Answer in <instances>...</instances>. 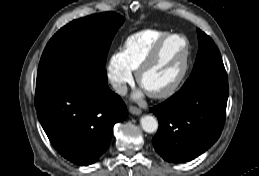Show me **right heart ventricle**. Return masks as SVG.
Wrapping results in <instances>:
<instances>
[{"label":"right heart ventricle","instance_id":"e07e8e85","mask_svg":"<svg viewBox=\"0 0 259 176\" xmlns=\"http://www.w3.org/2000/svg\"><path fill=\"white\" fill-rule=\"evenodd\" d=\"M170 33L161 29H143L128 36L122 46V55L126 65L137 71L155 44Z\"/></svg>","mask_w":259,"mask_h":176}]
</instances>
